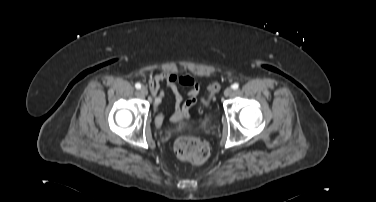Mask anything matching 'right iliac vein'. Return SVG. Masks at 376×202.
<instances>
[{
    "mask_svg": "<svg viewBox=\"0 0 376 202\" xmlns=\"http://www.w3.org/2000/svg\"><path fill=\"white\" fill-rule=\"evenodd\" d=\"M140 94L142 95V96H146L147 94H148V90H147V88L146 87H142V88H140Z\"/></svg>",
    "mask_w": 376,
    "mask_h": 202,
    "instance_id": "63e3f726",
    "label": "right iliac vein"
}]
</instances>
